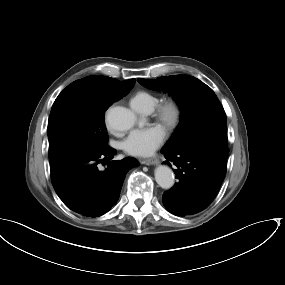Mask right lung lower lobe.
<instances>
[{"mask_svg":"<svg viewBox=\"0 0 285 285\" xmlns=\"http://www.w3.org/2000/svg\"><path fill=\"white\" fill-rule=\"evenodd\" d=\"M116 150L74 153L51 165V181L63 203L75 213L98 217L108 212L120 196L127 171L139 165L131 157L109 161ZM108 160L107 168L98 164Z\"/></svg>","mask_w":285,"mask_h":285,"instance_id":"right-lung-lower-lobe-1","label":"right lung lower lobe"}]
</instances>
